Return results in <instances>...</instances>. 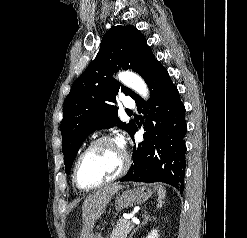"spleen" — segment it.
<instances>
[{
	"label": "spleen",
	"instance_id": "obj_1",
	"mask_svg": "<svg viewBox=\"0 0 247 238\" xmlns=\"http://www.w3.org/2000/svg\"><path fill=\"white\" fill-rule=\"evenodd\" d=\"M166 196V190L164 189V187L162 185L158 186V207H162L163 201L165 199Z\"/></svg>",
	"mask_w": 247,
	"mask_h": 238
}]
</instances>
